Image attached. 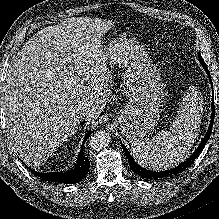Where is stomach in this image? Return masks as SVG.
I'll use <instances>...</instances> for the list:
<instances>
[{
	"instance_id": "1",
	"label": "stomach",
	"mask_w": 219,
	"mask_h": 219,
	"mask_svg": "<svg viewBox=\"0 0 219 219\" xmlns=\"http://www.w3.org/2000/svg\"><path fill=\"white\" fill-rule=\"evenodd\" d=\"M104 57L124 69L127 103L115 118L120 133L127 139L150 134L157 124L164 99V84L158 69L144 46L132 38L111 40L104 49Z\"/></svg>"
}]
</instances>
